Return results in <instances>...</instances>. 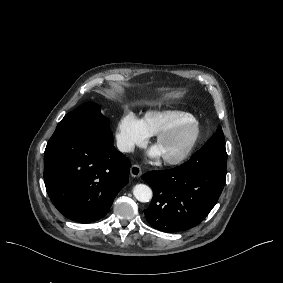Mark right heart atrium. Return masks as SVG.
<instances>
[{
	"label": "right heart atrium",
	"mask_w": 283,
	"mask_h": 283,
	"mask_svg": "<svg viewBox=\"0 0 283 283\" xmlns=\"http://www.w3.org/2000/svg\"><path fill=\"white\" fill-rule=\"evenodd\" d=\"M114 140L122 152H132L136 146L143 145L149 132L142 120L133 112L124 111L115 120Z\"/></svg>",
	"instance_id": "d8ad5b80"
}]
</instances>
